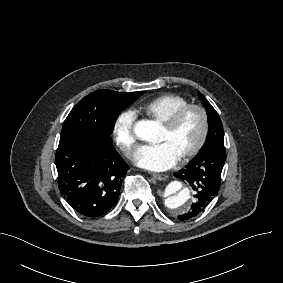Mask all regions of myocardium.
Listing matches in <instances>:
<instances>
[{"mask_svg":"<svg viewBox=\"0 0 283 283\" xmlns=\"http://www.w3.org/2000/svg\"><path fill=\"white\" fill-rule=\"evenodd\" d=\"M196 111L201 118L202 122V131H201V136L197 144L187 152H185L181 157V161H186L197 154L201 152V150L205 147L208 139V134H209V119L208 115L205 111V109L198 105V104H188L182 108L177 109L176 111L170 113L168 117L162 122L163 126L165 127L166 130L172 131L178 122L181 120V118L188 113L189 111Z\"/></svg>","mask_w":283,"mask_h":283,"instance_id":"1","label":"myocardium"}]
</instances>
